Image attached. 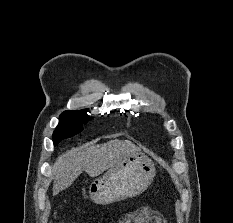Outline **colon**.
<instances>
[{"mask_svg":"<svg viewBox=\"0 0 233 223\" xmlns=\"http://www.w3.org/2000/svg\"><path fill=\"white\" fill-rule=\"evenodd\" d=\"M141 209L140 214H134L124 218L120 221V223H166L167 221L164 220L157 212L151 211L148 209Z\"/></svg>","mask_w":233,"mask_h":223,"instance_id":"obj_1","label":"colon"}]
</instances>
